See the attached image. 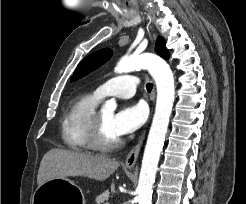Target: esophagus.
<instances>
[{
	"label": "esophagus",
	"mask_w": 246,
	"mask_h": 204,
	"mask_svg": "<svg viewBox=\"0 0 246 204\" xmlns=\"http://www.w3.org/2000/svg\"><path fill=\"white\" fill-rule=\"evenodd\" d=\"M145 138V132L141 135L140 139L138 140L137 144L131 149L129 154L126 157L124 165L126 167H134L140 152V149L142 147L143 141Z\"/></svg>",
	"instance_id": "esophagus-1"
}]
</instances>
